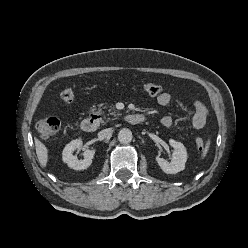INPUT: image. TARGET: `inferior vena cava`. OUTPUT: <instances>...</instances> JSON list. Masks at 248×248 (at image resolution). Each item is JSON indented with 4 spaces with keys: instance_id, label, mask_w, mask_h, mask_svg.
<instances>
[{
    "instance_id": "602c4592",
    "label": "inferior vena cava",
    "mask_w": 248,
    "mask_h": 248,
    "mask_svg": "<svg viewBox=\"0 0 248 248\" xmlns=\"http://www.w3.org/2000/svg\"><path fill=\"white\" fill-rule=\"evenodd\" d=\"M111 131H112L111 128L103 129L102 131H100V132L98 133V138H99L100 140L105 139L106 137H108V136L111 134Z\"/></svg>"
}]
</instances>
